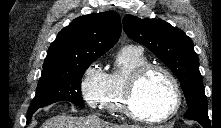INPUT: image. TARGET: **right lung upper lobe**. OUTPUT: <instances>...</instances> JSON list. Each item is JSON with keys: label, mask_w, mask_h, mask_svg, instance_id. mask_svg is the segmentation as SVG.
Masks as SVG:
<instances>
[{"label": "right lung upper lobe", "mask_w": 221, "mask_h": 128, "mask_svg": "<svg viewBox=\"0 0 221 128\" xmlns=\"http://www.w3.org/2000/svg\"><path fill=\"white\" fill-rule=\"evenodd\" d=\"M120 16L114 11L74 19L48 49L43 70L56 69L99 58L118 41Z\"/></svg>", "instance_id": "right-lung-upper-lobe-1"}]
</instances>
